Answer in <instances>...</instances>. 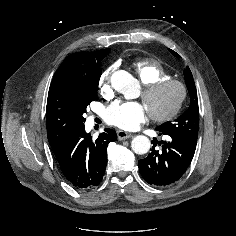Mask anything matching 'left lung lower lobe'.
<instances>
[{"label":"left lung lower lobe","instance_id":"0a47b994","mask_svg":"<svg viewBox=\"0 0 236 236\" xmlns=\"http://www.w3.org/2000/svg\"><path fill=\"white\" fill-rule=\"evenodd\" d=\"M161 134L168 135L170 141L157 142L154 138L151 153L138 161L142 177L156 186H166L179 180L189 167L196 149V143L190 140L163 132ZM157 144H162L161 150L155 149Z\"/></svg>","mask_w":236,"mask_h":236}]
</instances>
